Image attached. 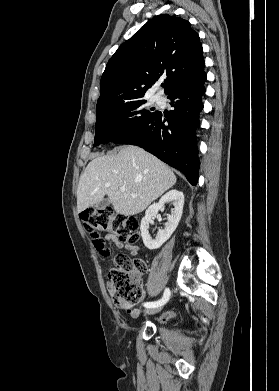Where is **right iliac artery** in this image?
<instances>
[{
    "instance_id": "1",
    "label": "right iliac artery",
    "mask_w": 279,
    "mask_h": 391,
    "mask_svg": "<svg viewBox=\"0 0 279 391\" xmlns=\"http://www.w3.org/2000/svg\"><path fill=\"white\" fill-rule=\"evenodd\" d=\"M169 298H170V290L169 288H166L164 291V295L160 300L154 302H146L144 303V306L146 308H154V307L162 306L169 300Z\"/></svg>"
}]
</instances>
